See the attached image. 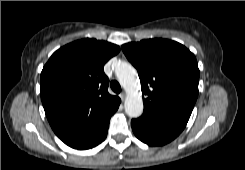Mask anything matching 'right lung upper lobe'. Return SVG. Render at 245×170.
<instances>
[{"label": "right lung upper lobe", "instance_id": "right-lung-upper-lobe-1", "mask_svg": "<svg viewBox=\"0 0 245 170\" xmlns=\"http://www.w3.org/2000/svg\"><path fill=\"white\" fill-rule=\"evenodd\" d=\"M119 46L85 38L67 44L50 57L41 72L40 92L55 134L74 148L93 136L119 107L108 93L104 64Z\"/></svg>", "mask_w": 245, "mask_h": 170}]
</instances>
